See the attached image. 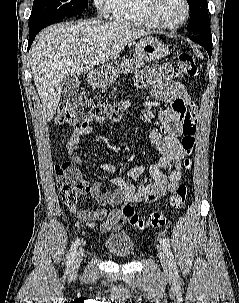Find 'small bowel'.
<instances>
[{"mask_svg": "<svg viewBox=\"0 0 239 303\" xmlns=\"http://www.w3.org/2000/svg\"><path fill=\"white\" fill-rule=\"evenodd\" d=\"M173 68L170 64L151 66L141 71L136 77V85L140 89H151V100L168 102L170 108L159 113V120L166 129L163 135L156 129H151L149 140L155 145L160 157L157 163L133 168L129 171L130 180L116 177L109 181L114 187L111 192H102L103 183L96 181L89 187V194L100 205L98 209H82L70 206L69 212L82 224L99 230L104 234L114 236L124 226L125 218L118 209L122 201L149 203L155 202L167 192H173L179 186L182 177V162L185 151L181 144L180 119L184 113L189 97L185 87L172 79ZM110 117L87 112L80 124L72 131L67 141V151L75 164L81 165L82 159L77 155L83 135L100 133L94 122H104ZM102 169L109 173L118 172L112 164H103ZM143 176L152 178L149 184L138 185ZM101 221V223H97Z\"/></svg>", "mask_w": 239, "mask_h": 303, "instance_id": "c3829d8e", "label": "small bowel"}]
</instances>
